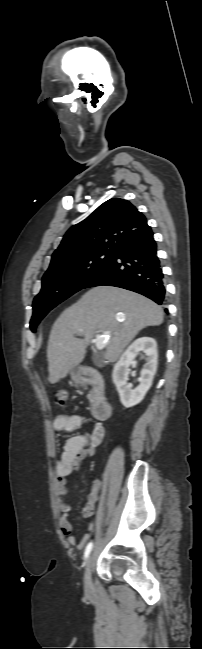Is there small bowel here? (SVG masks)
<instances>
[{
  "label": "small bowel",
  "mask_w": 202,
  "mask_h": 649,
  "mask_svg": "<svg viewBox=\"0 0 202 649\" xmlns=\"http://www.w3.org/2000/svg\"><path fill=\"white\" fill-rule=\"evenodd\" d=\"M84 422L85 418L82 415L61 414L54 418L53 427L56 431L72 432L79 429ZM104 435L105 430L102 423L95 421L89 436L77 434L69 437L65 442L63 452L56 466V487L59 508L62 514L59 527L61 532L67 536L69 544L76 545L79 550L85 547L89 534L84 533L77 542V536L73 533V527L69 521L71 505L67 500V479L78 468L83 459L94 454L95 447L102 441ZM100 488L101 481L95 478L92 482L91 491L87 496V503L82 509L83 517L89 518L94 514ZM92 527L93 521L90 520L87 522V530L90 531Z\"/></svg>",
  "instance_id": "1"
}]
</instances>
